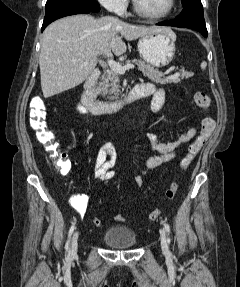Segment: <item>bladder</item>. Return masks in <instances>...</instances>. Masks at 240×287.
Masks as SVG:
<instances>
[{"label": "bladder", "instance_id": "bladder-1", "mask_svg": "<svg viewBox=\"0 0 240 287\" xmlns=\"http://www.w3.org/2000/svg\"><path fill=\"white\" fill-rule=\"evenodd\" d=\"M102 239L107 246L115 249L131 248L137 244L136 234L126 226L109 228Z\"/></svg>", "mask_w": 240, "mask_h": 287}]
</instances>
